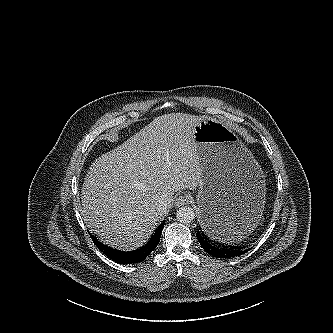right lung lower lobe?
<instances>
[{
	"label": "right lung lower lobe",
	"mask_w": 333,
	"mask_h": 333,
	"mask_svg": "<svg viewBox=\"0 0 333 333\" xmlns=\"http://www.w3.org/2000/svg\"><path fill=\"white\" fill-rule=\"evenodd\" d=\"M165 221H163L160 226L156 229L152 238L148 241V243L137 249L135 251L125 252L116 250L107 245L99 242L93 235H90L94 244L102 251L107 257L111 260L119 263V264H134L146 259V257L154 250V248L158 245L162 229L164 227Z\"/></svg>",
	"instance_id": "98d812e1"
}]
</instances>
